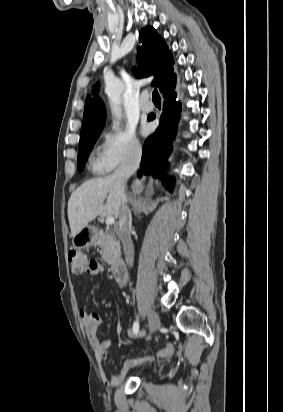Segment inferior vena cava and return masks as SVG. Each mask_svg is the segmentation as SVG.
Listing matches in <instances>:
<instances>
[{
  "instance_id": "602c4592",
  "label": "inferior vena cava",
  "mask_w": 283,
  "mask_h": 412,
  "mask_svg": "<svg viewBox=\"0 0 283 412\" xmlns=\"http://www.w3.org/2000/svg\"><path fill=\"white\" fill-rule=\"evenodd\" d=\"M141 153L142 150L139 146L132 148L113 174L123 185V201L119 212L118 232L123 245L126 263L130 267L133 266L134 262V246L131 240L132 215L127 205L124 191L127 180L134 174L139 165Z\"/></svg>"
}]
</instances>
